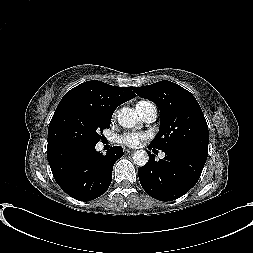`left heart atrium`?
<instances>
[{
	"label": "left heart atrium",
	"mask_w": 253,
	"mask_h": 253,
	"mask_svg": "<svg viewBox=\"0 0 253 253\" xmlns=\"http://www.w3.org/2000/svg\"><path fill=\"white\" fill-rule=\"evenodd\" d=\"M147 137L146 133L128 132L121 135L119 141L127 146L136 147Z\"/></svg>",
	"instance_id": "1"
}]
</instances>
